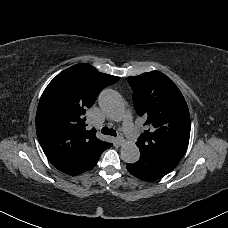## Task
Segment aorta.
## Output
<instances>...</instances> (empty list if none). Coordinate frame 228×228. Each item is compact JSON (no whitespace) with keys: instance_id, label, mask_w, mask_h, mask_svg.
<instances>
[{"instance_id":"762f6f07","label":"aorta","mask_w":228,"mask_h":228,"mask_svg":"<svg viewBox=\"0 0 228 228\" xmlns=\"http://www.w3.org/2000/svg\"><path fill=\"white\" fill-rule=\"evenodd\" d=\"M99 106L112 120L118 121L124 113V102L118 92L105 89L99 95ZM140 151L132 141H126L121 147V159L126 163H135L139 160Z\"/></svg>"}]
</instances>
